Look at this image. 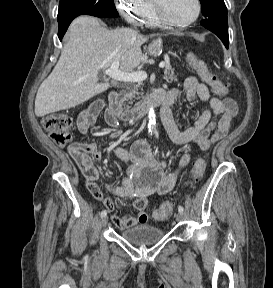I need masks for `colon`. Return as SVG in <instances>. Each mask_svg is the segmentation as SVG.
Listing matches in <instances>:
<instances>
[{"instance_id":"1","label":"colon","mask_w":273,"mask_h":288,"mask_svg":"<svg viewBox=\"0 0 273 288\" xmlns=\"http://www.w3.org/2000/svg\"><path fill=\"white\" fill-rule=\"evenodd\" d=\"M186 60L197 71L198 75L211 87L213 92L219 96L228 94V88L224 85L207 66L193 53L186 54ZM42 126L48 133L51 140L60 147L67 146L71 140L72 118L65 113H53L45 116ZM207 166L205 157L198 158L192 167L189 185L194 186L204 176ZM173 212V204L169 201L163 202L153 211V217L158 221L166 220Z\"/></svg>"}]
</instances>
